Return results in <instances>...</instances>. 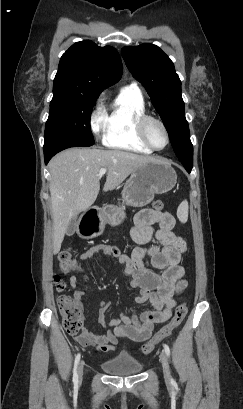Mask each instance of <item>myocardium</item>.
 Here are the masks:
<instances>
[{"label": "myocardium", "mask_w": 243, "mask_h": 409, "mask_svg": "<svg viewBox=\"0 0 243 409\" xmlns=\"http://www.w3.org/2000/svg\"><path fill=\"white\" fill-rule=\"evenodd\" d=\"M149 122H155L157 123L162 130L165 133L166 136V144L163 148H157L155 147L152 142L150 141L148 134H147V125ZM137 131H138V135L141 138V140L143 141V143L148 146L151 150L153 151H163L165 150L169 144H170V135H169V131L168 128L166 127V125L164 124V122L152 115L149 114H143L141 115L138 119H137Z\"/></svg>", "instance_id": "obj_1"}]
</instances>
